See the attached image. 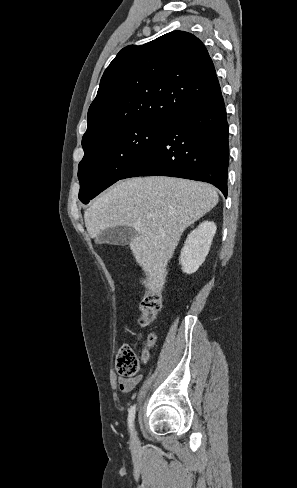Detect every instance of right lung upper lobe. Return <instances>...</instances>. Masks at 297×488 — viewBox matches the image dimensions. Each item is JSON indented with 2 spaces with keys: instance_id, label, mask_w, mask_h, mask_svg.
Segmentation results:
<instances>
[{
  "instance_id": "obj_1",
  "label": "right lung upper lobe",
  "mask_w": 297,
  "mask_h": 488,
  "mask_svg": "<svg viewBox=\"0 0 297 488\" xmlns=\"http://www.w3.org/2000/svg\"><path fill=\"white\" fill-rule=\"evenodd\" d=\"M221 92L204 44L184 31L123 48L105 70L88 110L85 150L134 123L168 121Z\"/></svg>"
}]
</instances>
